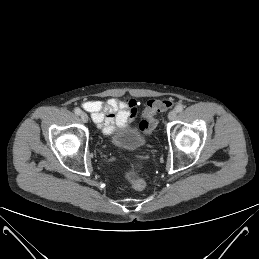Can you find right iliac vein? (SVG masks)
<instances>
[{
  "label": "right iliac vein",
  "mask_w": 259,
  "mask_h": 259,
  "mask_svg": "<svg viewBox=\"0 0 259 259\" xmlns=\"http://www.w3.org/2000/svg\"><path fill=\"white\" fill-rule=\"evenodd\" d=\"M80 117H81V120L84 122V123H87L88 122V115L84 112H82L80 114Z\"/></svg>",
  "instance_id": "right-iliac-vein-1"
}]
</instances>
